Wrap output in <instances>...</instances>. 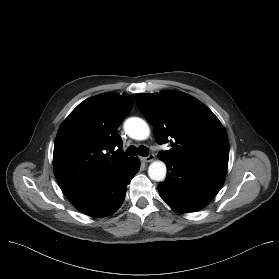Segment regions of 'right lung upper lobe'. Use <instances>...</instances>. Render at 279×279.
<instances>
[{
	"label": "right lung upper lobe",
	"mask_w": 279,
	"mask_h": 279,
	"mask_svg": "<svg viewBox=\"0 0 279 279\" xmlns=\"http://www.w3.org/2000/svg\"><path fill=\"white\" fill-rule=\"evenodd\" d=\"M132 106L131 96H94L64 120L53 153L54 174L64 194L100 183L132 162L116 134Z\"/></svg>",
	"instance_id": "cb5924a9"
}]
</instances>
